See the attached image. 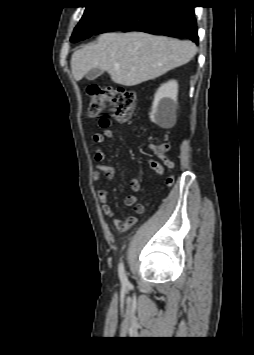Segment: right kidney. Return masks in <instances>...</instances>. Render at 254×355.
<instances>
[{
  "mask_svg": "<svg viewBox=\"0 0 254 355\" xmlns=\"http://www.w3.org/2000/svg\"><path fill=\"white\" fill-rule=\"evenodd\" d=\"M178 83L175 80L161 85L154 96L150 119L161 126L174 122L177 108Z\"/></svg>",
  "mask_w": 254,
  "mask_h": 355,
  "instance_id": "ca27d5eb",
  "label": "right kidney"
}]
</instances>
